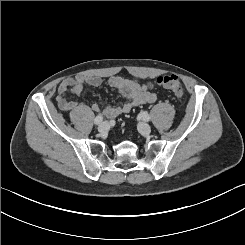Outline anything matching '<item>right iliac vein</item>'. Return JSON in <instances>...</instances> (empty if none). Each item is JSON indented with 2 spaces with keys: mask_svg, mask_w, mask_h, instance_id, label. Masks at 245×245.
<instances>
[{
  "mask_svg": "<svg viewBox=\"0 0 245 245\" xmlns=\"http://www.w3.org/2000/svg\"><path fill=\"white\" fill-rule=\"evenodd\" d=\"M109 128H110L109 123L104 121L99 125L98 130L99 132H107Z\"/></svg>",
  "mask_w": 245,
  "mask_h": 245,
  "instance_id": "obj_1",
  "label": "right iliac vein"
}]
</instances>
